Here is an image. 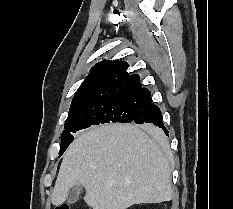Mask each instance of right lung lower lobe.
Listing matches in <instances>:
<instances>
[{"mask_svg":"<svg viewBox=\"0 0 233 209\" xmlns=\"http://www.w3.org/2000/svg\"><path fill=\"white\" fill-rule=\"evenodd\" d=\"M136 124H143L144 126H147L151 130H153L154 125L165 129L163 123H162V117H161V111L160 109L152 102H150L148 105H146L140 113L137 115V117L133 120ZM166 135H168V131L165 129Z\"/></svg>","mask_w":233,"mask_h":209,"instance_id":"obj_1","label":"right lung lower lobe"}]
</instances>
